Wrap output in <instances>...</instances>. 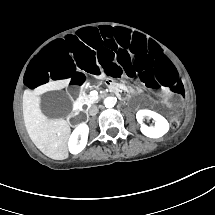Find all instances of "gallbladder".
Returning a JSON list of instances; mask_svg holds the SVG:
<instances>
[{"mask_svg":"<svg viewBox=\"0 0 215 215\" xmlns=\"http://www.w3.org/2000/svg\"><path fill=\"white\" fill-rule=\"evenodd\" d=\"M42 113L50 118H63L71 111L69 97L64 92L49 91L40 99Z\"/></svg>","mask_w":215,"mask_h":215,"instance_id":"1","label":"gallbladder"}]
</instances>
